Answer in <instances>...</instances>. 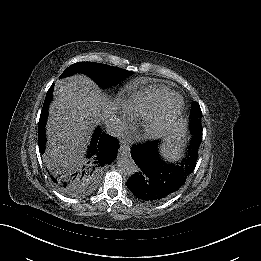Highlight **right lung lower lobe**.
I'll return each mask as SVG.
<instances>
[{"instance_id": "98d812e1", "label": "right lung lower lobe", "mask_w": 261, "mask_h": 261, "mask_svg": "<svg viewBox=\"0 0 261 261\" xmlns=\"http://www.w3.org/2000/svg\"><path fill=\"white\" fill-rule=\"evenodd\" d=\"M53 85L47 92L43 108L39 119V150L43 154L45 150V122L47 118L48 105L52 99ZM119 148V142L115 137L108 134H102L98 128L92 138V142L89 148L88 155H91L94 159V168L96 172L104 164L110 163L116 158L117 149ZM55 181V179H53ZM65 186V185H64Z\"/></svg>"}]
</instances>
